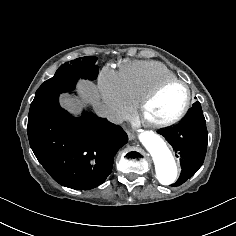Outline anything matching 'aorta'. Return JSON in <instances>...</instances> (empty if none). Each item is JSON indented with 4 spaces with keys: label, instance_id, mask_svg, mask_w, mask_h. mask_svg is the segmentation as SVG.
Returning a JSON list of instances; mask_svg holds the SVG:
<instances>
[{
    "label": "aorta",
    "instance_id": "obj_1",
    "mask_svg": "<svg viewBox=\"0 0 236 236\" xmlns=\"http://www.w3.org/2000/svg\"><path fill=\"white\" fill-rule=\"evenodd\" d=\"M139 140L151 154L156 177L162 185H170L177 178V166L165 141L152 131H141Z\"/></svg>",
    "mask_w": 236,
    "mask_h": 236
}]
</instances>
